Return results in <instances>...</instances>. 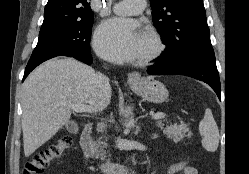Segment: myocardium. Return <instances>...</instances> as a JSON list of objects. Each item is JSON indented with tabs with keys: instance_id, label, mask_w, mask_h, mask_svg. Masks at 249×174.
Listing matches in <instances>:
<instances>
[{
	"instance_id": "obj_1",
	"label": "myocardium",
	"mask_w": 249,
	"mask_h": 174,
	"mask_svg": "<svg viewBox=\"0 0 249 174\" xmlns=\"http://www.w3.org/2000/svg\"><path fill=\"white\" fill-rule=\"evenodd\" d=\"M144 32L150 39L151 48L138 57L137 63L140 65L148 64L159 58L166 49V45L162 37L154 28L150 26L145 27Z\"/></svg>"
}]
</instances>
